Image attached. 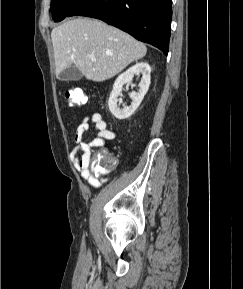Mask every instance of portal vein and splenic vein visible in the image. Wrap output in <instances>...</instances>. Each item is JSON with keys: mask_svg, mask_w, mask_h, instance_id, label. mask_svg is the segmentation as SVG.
Instances as JSON below:
<instances>
[{"mask_svg": "<svg viewBox=\"0 0 243 289\" xmlns=\"http://www.w3.org/2000/svg\"><path fill=\"white\" fill-rule=\"evenodd\" d=\"M90 59H91L93 62H95V61H96V58H95V56H94V55H90Z\"/></svg>", "mask_w": 243, "mask_h": 289, "instance_id": "portal-vein-and-splenic-vein-1", "label": "portal vein and splenic vein"}]
</instances>
